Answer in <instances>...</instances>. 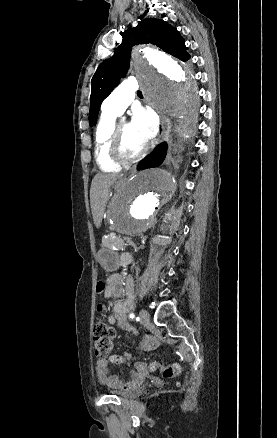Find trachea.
<instances>
[{
    "label": "trachea",
    "instance_id": "trachea-1",
    "mask_svg": "<svg viewBox=\"0 0 277 438\" xmlns=\"http://www.w3.org/2000/svg\"><path fill=\"white\" fill-rule=\"evenodd\" d=\"M137 94H138V95H142V93L140 92V90H138Z\"/></svg>",
    "mask_w": 277,
    "mask_h": 438
}]
</instances>
